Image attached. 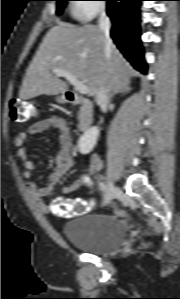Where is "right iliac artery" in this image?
Listing matches in <instances>:
<instances>
[{
	"label": "right iliac artery",
	"instance_id": "obj_1",
	"mask_svg": "<svg viewBox=\"0 0 180 299\" xmlns=\"http://www.w3.org/2000/svg\"><path fill=\"white\" fill-rule=\"evenodd\" d=\"M100 190H101L102 192H106L107 187H106V184H105L104 182H101V183H100Z\"/></svg>",
	"mask_w": 180,
	"mask_h": 299
}]
</instances>
